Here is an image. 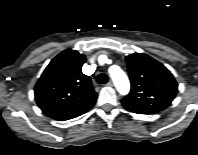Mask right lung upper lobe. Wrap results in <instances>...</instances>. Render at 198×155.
Returning a JSON list of instances; mask_svg holds the SVG:
<instances>
[{
  "instance_id": "obj_1",
  "label": "right lung upper lobe",
  "mask_w": 198,
  "mask_h": 155,
  "mask_svg": "<svg viewBox=\"0 0 198 155\" xmlns=\"http://www.w3.org/2000/svg\"><path fill=\"white\" fill-rule=\"evenodd\" d=\"M85 61V55L67 49L46 67L35 86V99L44 114L64 121L93 107L97 93L91 78L82 73Z\"/></svg>"
}]
</instances>
